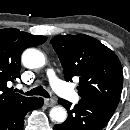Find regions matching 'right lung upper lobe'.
Returning <instances> with one entry per match:
<instances>
[{"label": "right lung upper lobe", "mask_w": 130, "mask_h": 130, "mask_svg": "<svg viewBox=\"0 0 130 130\" xmlns=\"http://www.w3.org/2000/svg\"><path fill=\"white\" fill-rule=\"evenodd\" d=\"M45 36H35L18 29L0 30V109L26 103L34 97H25L13 91L7 84L20 78V56L28 47L38 46L46 41Z\"/></svg>", "instance_id": "1"}]
</instances>
